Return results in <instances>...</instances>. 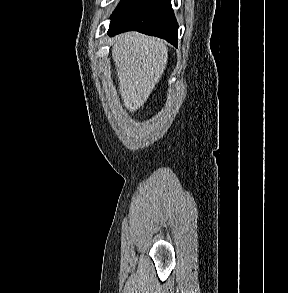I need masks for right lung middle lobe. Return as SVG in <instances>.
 <instances>
[{"instance_id": "dd1d6c3e", "label": "right lung middle lobe", "mask_w": 288, "mask_h": 293, "mask_svg": "<svg viewBox=\"0 0 288 293\" xmlns=\"http://www.w3.org/2000/svg\"><path fill=\"white\" fill-rule=\"evenodd\" d=\"M130 0H122L119 5L117 6V8L115 9V11L113 12L111 18L113 16H115Z\"/></svg>"}]
</instances>
